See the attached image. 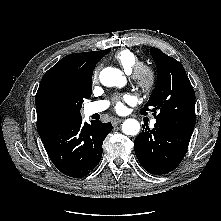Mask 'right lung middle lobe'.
<instances>
[{
  "label": "right lung middle lobe",
  "instance_id": "obj_1",
  "mask_svg": "<svg viewBox=\"0 0 221 221\" xmlns=\"http://www.w3.org/2000/svg\"><path fill=\"white\" fill-rule=\"evenodd\" d=\"M77 102L79 103L80 108H81V104H82V102H83V98L78 99Z\"/></svg>",
  "mask_w": 221,
  "mask_h": 221
}]
</instances>
